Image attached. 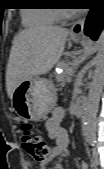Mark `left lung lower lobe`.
Here are the masks:
<instances>
[{
    "label": "left lung lower lobe",
    "mask_w": 104,
    "mask_h": 169,
    "mask_svg": "<svg viewBox=\"0 0 104 169\" xmlns=\"http://www.w3.org/2000/svg\"><path fill=\"white\" fill-rule=\"evenodd\" d=\"M104 22V13L102 9H91L86 23L84 32L87 36L91 37L93 40H96L102 30Z\"/></svg>",
    "instance_id": "0a47b994"
}]
</instances>
